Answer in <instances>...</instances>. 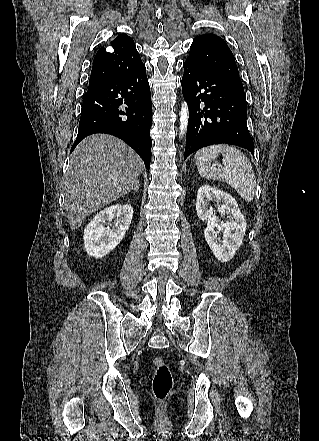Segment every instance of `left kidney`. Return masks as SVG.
Instances as JSON below:
<instances>
[{"instance_id": "obj_1", "label": "left kidney", "mask_w": 319, "mask_h": 441, "mask_svg": "<svg viewBox=\"0 0 319 441\" xmlns=\"http://www.w3.org/2000/svg\"><path fill=\"white\" fill-rule=\"evenodd\" d=\"M210 202H222L217 209L221 215H227V222H220L217 215H213ZM196 211L201 220H207L204 236L215 257L221 262L231 260L241 246L246 232V221L236 200L225 192L204 185L197 193ZM219 231H222V239Z\"/></svg>"}]
</instances>
